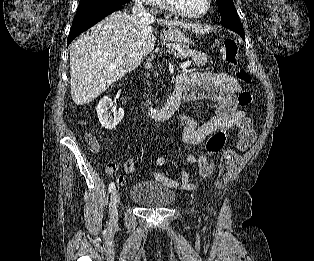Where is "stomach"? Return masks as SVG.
Here are the masks:
<instances>
[{
	"mask_svg": "<svg viewBox=\"0 0 314 261\" xmlns=\"http://www.w3.org/2000/svg\"><path fill=\"white\" fill-rule=\"evenodd\" d=\"M163 39L165 42H173L183 49H188L190 46L189 39L177 27H169Z\"/></svg>",
	"mask_w": 314,
	"mask_h": 261,
	"instance_id": "0dacf381",
	"label": "stomach"
}]
</instances>
